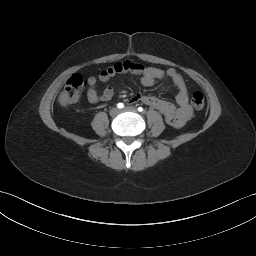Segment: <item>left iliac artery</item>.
Instances as JSON below:
<instances>
[{"label":"left iliac artery","mask_w":256,"mask_h":256,"mask_svg":"<svg viewBox=\"0 0 256 256\" xmlns=\"http://www.w3.org/2000/svg\"><path fill=\"white\" fill-rule=\"evenodd\" d=\"M138 111H139V112H143L144 109H143L142 107H138Z\"/></svg>","instance_id":"left-iliac-artery-1"}]
</instances>
